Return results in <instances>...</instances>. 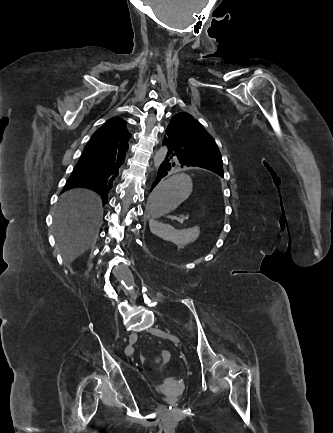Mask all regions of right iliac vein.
Segmentation results:
<instances>
[{"instance_id":"1","label":"right iliac vein","mask_w":333,"mask_h":433,"mask_svg":"<svg viewBox=\"0 0 333 433\" xmlns=\"http://www.w3.org/2000/svg\"><path fill=\"white\" fill-rule=\"evenodd\" d=\"M137 340V334L135 332H131L129 335V346L126 347V355L130 356L133 353L131 345L134 344Z\"/></svg>"}]
</instances>
